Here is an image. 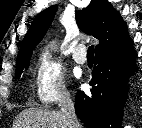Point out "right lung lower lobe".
Here are the masks:
<instances>
[{
    "label": "right lung lower lobe",
    "mask_w": 142,
    "mask_h": 128,
    "mask_svg": "<svg viewBox=\"0 0 142 128\" xmlns=\"http://www.w3.org/2000/svg\"><path fill=\"white\" fill-rule=\"evenodd\" d=\"M132 40L106 54L96 55L91 95L78 91L77 116L88 128H120L127 99V80L136 69Z\"/></svg>",
    "instance_id": "right-lung-lower-lobe-1"
}]
</instances>
